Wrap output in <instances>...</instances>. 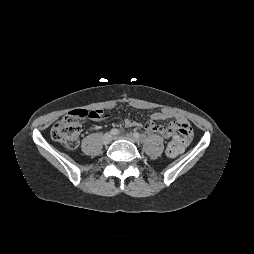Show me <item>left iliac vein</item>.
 Masks as SVG:
<instances>
[{
  "label": "left iliac vein",
  "instance_id": "4c4485c4",
  "mask_svg": "<svg viewBox=\"0 0 254 254\" xmlns=\"http://www.w3.org/2000/svg\"><path fill=\"white\" fill-rule=\"evenodd\" d=\"M119 138H124L132 143H135L136 142V139L135 137L132 135V134H126L124 136H116L115 139H119Z\"/></svg>",
  "mask_w": 254,
  "mask_h": 254
}]
</instances>
